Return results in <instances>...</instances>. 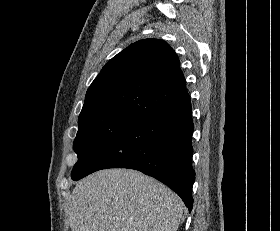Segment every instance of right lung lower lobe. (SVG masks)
<instances>
[{"instance_id":"98d812e1","label":"right lung lower lobe","mask_w":280,"mask_h":231,"mask_svg":"<svg viewBox=\"0 0 280 231\" xmlns=\"http://www.w3.org/2000/svg\"><path fill=\"white\" fill-rule=\"evenodd\" d=\"M193 131L191 100L165 108L128 128L72 179L106 168L139 170L169 186L191 212Z\"/></svg>"}]
</instances>
